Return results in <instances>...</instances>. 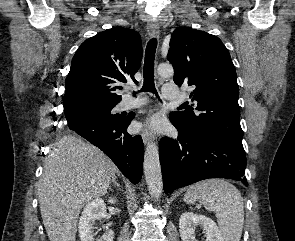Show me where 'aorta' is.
I'll return each mask as SVG.
<instances>
[{"label": "aorta", "instance_id": "obj_1", "mask_svg": "<svg viewBox=\"0 0 295 241\" xmlns=\"http://www.w3.org/2000/svg\"><path fill=\"white\" fill-rule=\"evenodd\" d=\"M157 72L163 78H170L174 74L170 64H160ZM144 174L149 193L158 197L163 190L162 173L159 160V149L156 143L147 145L144 155Z\"/></svg>", "mask_w": 295, "mask_h": 241}]
</instances>
